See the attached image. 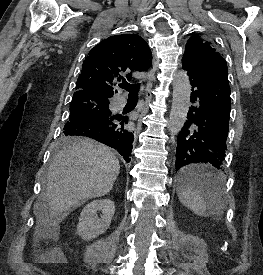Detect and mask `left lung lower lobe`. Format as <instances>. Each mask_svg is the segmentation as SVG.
Returning a JSON list of instances; mask_svg holds the SVG:
<instances>
[{
    "instance_id": "1",
    "label": "left lung lower lobe",
    "mask_w": 263,
    "mask_h": 275,
    "mask_svg": "<svg viewBox=\"0 0 263 275\" xmlns=\"http://www.w3.org/2000/svg\"><path fill=\"white\" fill-rule=\"evenodd\" d=\"M191 81V106L177 138L175 167L181 181L208 194L217 188L226 156L231 111L227 66L187 61L182 64ZM202 163L208 166L203 168ZM214 170V171H211Z\"/></svg>"
}]
</instances>
